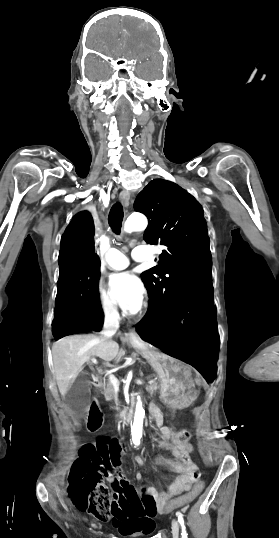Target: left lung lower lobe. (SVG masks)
Instances as JSON below:
<instances>
[{"label":"left lung lower lobe","instance_id":"1","mask_svg":"<svg viewBox=\"0 0 279 538\" xmlns=\"http://www.w3.org/2000/svg\"><path fill=\"white\" fill-rule=\"evenodd\" d=\"M136 331L145 341L192 365L208 382L214 381L219 335L212 282L182 295L159 319H142Z\"/></svg>","mask_w":279,"mask_h":538}]
</instances>
